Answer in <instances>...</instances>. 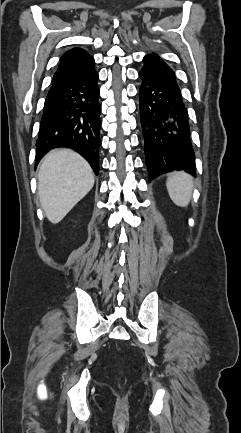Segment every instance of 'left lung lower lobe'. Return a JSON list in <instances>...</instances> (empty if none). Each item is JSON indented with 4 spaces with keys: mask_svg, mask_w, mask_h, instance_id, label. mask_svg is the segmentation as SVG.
Masks as SVG:
<instances>
[{
    "mask_svg": "<svg viewBox=\"0 0 241 433\" xmlns=\"http://www.w3.org/2000/svg\"><path fill=\"white\" fill-rule=\"evenodd\" d=\"M140 122L149 180L173 170L195 175L187 108L175 74L164 66L139 72Z\"/></svg>",
    "mask_w": 241,
    "mask_h": 433,
    "instance_id": "obj_1",
    "label": "left lung lower lobe"
}]
</instances>
